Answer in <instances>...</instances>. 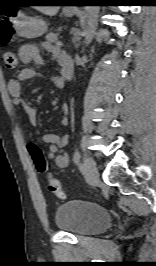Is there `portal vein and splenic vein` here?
Wrapping results in <instances>:
<instances>
[{
	"label": "portal vein and splenic vein",
	"instance_id": "18ae733b",
	"mask_svg": "<svg viewBox=\"0 0 156 266\" xmlns=\"http://www.w3.org/2000/svg\"><path fill=\"white\" fill-rule=\"evenodd\" d=\"M56 45H57L58 47H62V46H63V43L60 42V41H57V42H56Z\"/></svg>",
	"mask_w": 156,
	"mask_h": 266
}]
</instances>
